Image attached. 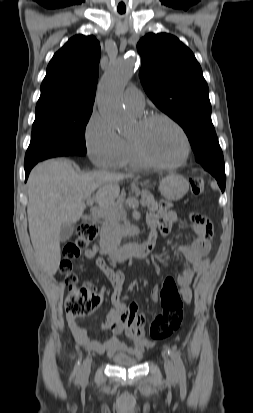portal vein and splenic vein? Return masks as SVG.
Here are the masks:
<instances>
[{"label": "portal vein and splenic vein", "mask_w": 253, "mask_h": 413, "mask_svg": "<svg viewBox=\"0 0 253 413\" xmlns=\"http://www.w3.org/2000/svg\"><path fill=\"white\" fill-rule=\"evenodd\" d=\"M86 202H87V205H92L93 204V200L90 197L87 198ZM141 205L144 206L142 203H141ZM101 212H103V209L100 210V213Z\"/></svg>", "instance_id": "obj_1"}]
</instances>
